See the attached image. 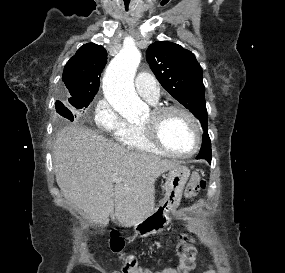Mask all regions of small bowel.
<instances>
[{
	"label": "small bowel",
	"mask_w": 285,
	"mask_h": 273,
	"mask_svg": "<svg viewBox=\"0 0 285 273\" xmlns=\"http://www.w3.org/2000/svg\"><path fill=\"white\" fill-rule=\"evenodd\" d=\"M148 273H176L175 269L172 267H164L160 270H156V271H151L149 270ZM204 273H215V271L213 269H209L207 271H205Z\"/></svg>",
	"instance_id": "1"
}]
</instances>
